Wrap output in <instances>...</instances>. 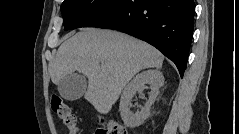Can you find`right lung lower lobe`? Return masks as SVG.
Returning a JSON list of instances; mask_svg holds the SVG:
<instances>
[{"label":"right lung lower lobe","instance_id":"obj_1","mask_svg":"<svg viewBox=\"0 0 239 134\" xmlns=\"http://www.w3.org/2000/svg\"><path fill=\"white\" fill-rule=\"evenodd\" d=\"M194 12L193 0H116L83 27L114 29L148 42L175 63L182 77Z\"/></svg>","mask_w":239,"mask_h":134}]
</instances>
